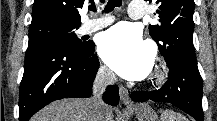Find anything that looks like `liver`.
Returning <instances> with one entry per match:
<instances>
[{"instance_id":"obj_1","label":"liver","mask_w":217,"mask_h":121,"mask_svg":"<svg viewBox=\"0 0 217 121\" xmlns=\"http://www.w3.org/2000/svg\"><path fill=\"white\" fill-rule=\"evenodd\" d=\"M88 99H63L55 101L31 118V121H89ZM112 110L105 107L104 121H113Z\"/></svg>"}]
</instances>
